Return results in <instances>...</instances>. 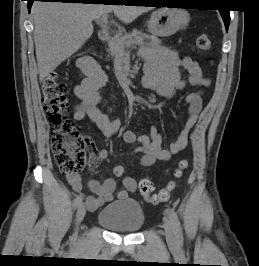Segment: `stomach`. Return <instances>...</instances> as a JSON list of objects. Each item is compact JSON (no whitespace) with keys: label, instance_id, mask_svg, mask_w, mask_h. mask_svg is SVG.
Returning <instances> with one entry per match:
<instances>
[{"label":"stomach","instance_id":"0dacf381","mask_svg":"<svg viewBox=\"0 0 259 266\" xmlns=\"http://www.w3.org/2000/svg\"><path fill=\"white\" fill-rule=\"evenodd\" d=\"M189 21L190 16L185 9L160 8L151 14L148 29L154 36L167 37L185 29Z\"/></svg>","mask_w":259,"mask_h":266}]
</instances>
